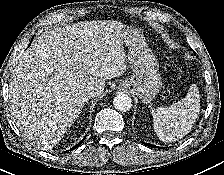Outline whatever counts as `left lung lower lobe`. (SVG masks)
<instances>
[{"label": "left lung lower lobe", "mask_w": 224, "mask_h": 175, "mask_svg": "<svg viewBox=\"0 0 224 175\" xmlns=\"http://www.w3.org/2000/svg\"><path fill=\"white\" fill-rule=\"evenodd\" d=\"M143 144L146 145V146H148V147H152V148H161V147H157L155 145L149 144V143H144L143 142Z\"/></svg>", "instance_id": "0a47b994"}]
</instances>
